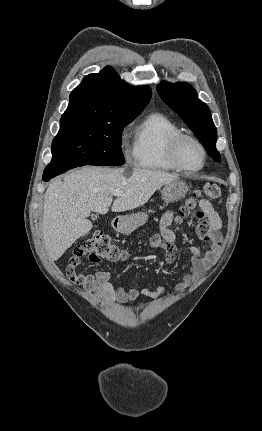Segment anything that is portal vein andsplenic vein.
<instances>
[{"label": "portal vein and splenic vein", "mask_w": 262, "mask_h": 431, "mask_svg": "<svg viewBox=\"0 0 262 431\" xmlns=\"http://www.w3.org/2000/svg\"><path fill=\"white\" fill-rule=\"evenodd\" d=\"M113 196H120L121 194H122V191L121 190H115V191H113Z\"/></svg>", "instance_id": "obj_1"}]
</instances>
